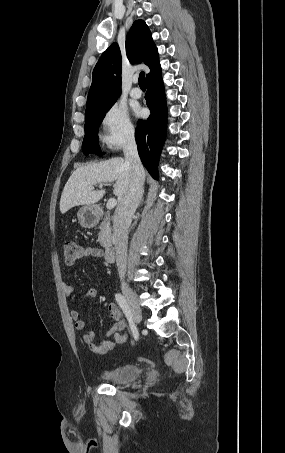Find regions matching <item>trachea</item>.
<instances>
[{"label": "trachea", "instance_id": "obj_1", "mask_svg": "<svg viewBox=\"0 0 285 453\" xmlns=\"http://www.w3.org/2000/svg\"><path fill=\"white\" fill-rule=\"evenodd\" d=\"M139 86H146L145 73L141 72L139 74Z\"/></svg>", "mask_w": 285, "mask_h": 453}]
</instances>
